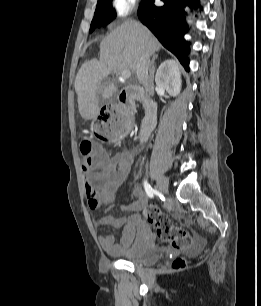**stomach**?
<instances>
[{"mask_svg":"<svg viewBox=\"0 0 261 306\" xmlns=\"http://www.w3.org/2000/svg\"><path fill=\"white\" fill-rule=\"evenodd\" d=\"M131 128H132V119L130 116H127L123 124L122 133H121L122 136L127 135L130 132Z\"/></svg>","mask_w":261,"mask_h":306,"instance_id":"1","label":"stomach"}]
</instances>
